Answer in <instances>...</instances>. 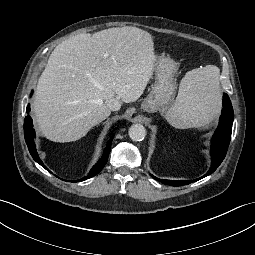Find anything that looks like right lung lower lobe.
<instances>
[{"instance_id":"obj_1","label":"right lung lower lobe","mask_w":255,"mask_h":255,"mask_svg":"<svg viewBox=\"0 0 255 255\" xmlns=\"http://www.w3.org/2000/svg\"><path fill=\"white\" fill-rule=\"evenodd\" d=\"M26 112L29 113L30 112V104H28L27 108H26ZM24 133H25V140H26V144L28 146V149L30 151V154L32 155L33 159L39 163L41 166H43L46 170H48V168L46 166H44L43 162L41 161V159L39 158L37 151H36V147H35V143H34V137H35V131L33 129V125H32V119L30 117V115L25 117L24 120ZM114 136H111L110 139L107 142L106 148L104 150V154L101 157V159L93 166V168L90 170L89 174L82 178L79 179L77 181H71V182H79V181H83L86 180L88 178H91L95 175H97L105 166L107 160H108V156L110 153V149H111V142Z\"/></svg>"}]
</instances>
